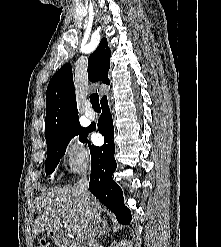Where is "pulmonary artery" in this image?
Wrapping results in <instances>:
<instances>
[{"label":"pulmonary artery","instance_id":"obj_1","mask_svg":"<svg viewBox=\"0 0 221 247\" xmlns=\"http://www.w3.org/2000/svg\"><path fill=\"white\" fill-rule=\"evenodd\" d=\"M85 116H86L88 119L93 120V119H95L96 114H95V112H94L90 107H87V108L85 109Z\"/></svg>","mask_w":221,"mask_h":247}]
</instances>
